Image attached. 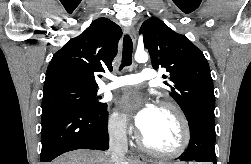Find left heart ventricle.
<instances>
[{
    "instance_id": "1",
    "label": "left heart ventricle",
    "mask_w": 251,
    "mask_h": 164,
    "mask_svg": "<svg viewBox=\"0 0 251 164\" xmlns=\"http://www.w3.org/2000/svg\"><path fill=\"white\" fill-rule=\"evenodd\" d=\"M143 136L146 142L156 149L172 150L180 143L181 129L170 111L157 108L155 117Z\"/></svg>"
}]
</instances>
